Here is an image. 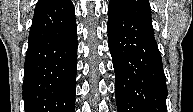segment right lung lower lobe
<instances>
[{
	"instance_id": "right-lung-lower-lobe-1",
	"label": "right lung lower lobe",
	"mask_w": 193,
	"mask_h": 112,
	"mask_svg": "<svg viewBox=\"0 0 193 112\" xmlns=\"http://www.w3.org/2000/svg\"><path fill=\"white\" fill-rule=\"evenodd\" d=\"M77 25L71 0L36 9L24 65L25 112H74Z\"/></svg>"
}]
</instances>
